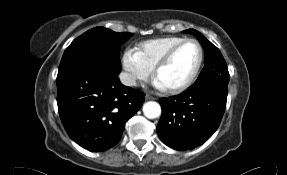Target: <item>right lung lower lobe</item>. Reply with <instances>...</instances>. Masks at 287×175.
<instances>
[{
	"instance_id": "obj_1",
	"label": "right lung lower lobe",
	"mask_w": 287,
	"mask_h": 175,
	"mask_svg": "<svg viewBox=\"0 0 287 175\" xmlns=\"http://www.w3.org/2000/svg\"><path fill=\"white\" fill-rule=\"evenodd\" d=\"M118 74L81 66L57 75L62 124L78 145L105 151L122 137L125 122L142 106L145 94L124 86Z\"/></svg>"
}]
</instances>
